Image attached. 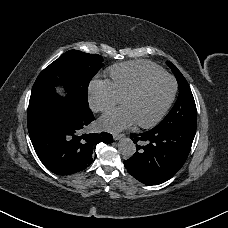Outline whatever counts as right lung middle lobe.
Wrapping results in <instances>:
<instances>
[{"label": "right lung middle lobe", "instance_id": "right-lung-middle-lobe-1", "mask_svg": "<svg viewBox=\"0 0 228 228\" xmlns=\"http://www.w3.org/2000/svg\"><path fill=\"white\" fill-rule=\"evenodd\" d=\"M103 58L97 54H87L69 50L46 67L37 77L30 96L29 107L46 103L62 102L78 114L90 113L87 90L93 76L103 66ZM62 86L67 91L65 97L55 92Z\"/></svg>", "mask_w": 228, "mask_h": 228}]
</instances>
